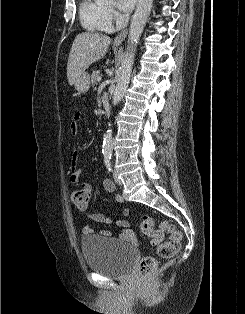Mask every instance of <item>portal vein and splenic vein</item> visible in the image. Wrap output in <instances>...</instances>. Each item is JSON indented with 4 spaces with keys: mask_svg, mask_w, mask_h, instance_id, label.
Masks as SVG:
<instances>
[{
    "mask_svg": "<svg viewBox=\"0 0 245 314\" xmlns=\"http://www.w3.org/2000/svg\"><path fill=\"white\" fill-rule=\"evenodd\" d=\"M101 79H102V77H101V76H98V77H97V81H98V82H100V81H101Z\"/></svg>",
    "mask_w": 245,
    "mask_h": 314,
    "instance_id": "1",
    "label": "portal vein and splenic vein"
}]
</instances>
